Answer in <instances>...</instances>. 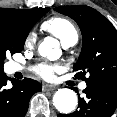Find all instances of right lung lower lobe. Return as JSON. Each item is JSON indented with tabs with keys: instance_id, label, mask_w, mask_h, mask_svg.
<instances>
[{
	"instance_id": "obj_1",
	"label": "right lung lower lobe",
	"mask_w": 117,
	"mask_h": 117,
	"mask_svg": "<svg viewBox=\"0 0 117 117\" xmlns=\"http://www.w3.org/2000/svg\"><path fill=\"white\" fill-rule=\"evenodd\" d=\"M7 80L6 74L0 73V117H24L30 98L42 87L38 81L25 78L13 80V86L8 88Z\"/></svg>"
}]
</instances>
